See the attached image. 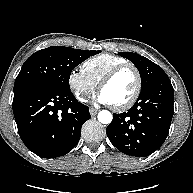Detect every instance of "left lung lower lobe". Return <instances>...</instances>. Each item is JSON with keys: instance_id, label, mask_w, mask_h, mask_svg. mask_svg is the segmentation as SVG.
I'll list each match as a JSON object with an SVG mask.
<instances>
[{"instance_id": "0a47b994", "label": "left lung lower lobe", "mask_w": 193, "mask_h": 193, "mask_svg": "<svg viewBox=\"0 0 193 193\" xmlns=\"http://www.w3.org/2000/svg\"><path fill=\"white\" fill-rule=\"evenodd\" d=\"M174 90L167 75L142 91L128 112L113 114L106 128L111 143L121 152L145 157L165 141L174 113Z\"/></svg>"}]
</instances>
